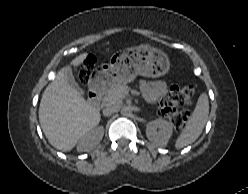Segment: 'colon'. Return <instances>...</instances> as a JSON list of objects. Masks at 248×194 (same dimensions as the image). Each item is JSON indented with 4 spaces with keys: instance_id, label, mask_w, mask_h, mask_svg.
Segmentation results:
<instances>
[{
    "instance_id": "5ec220e1",
    "label": "colon",
    "mask_w": 248,
    "mask_h": 194,
    "mask_svg": "<svg viewBox=\"0 0 248 194\" xmlns=\"http://www.w3.org/2000/svg\"><path fill=\"white\" fill-rule=\"evenodd\" d=\"M94 75L93 62L88 61L79 70L80 82L86 83ZM192 86H172L168 96L160 103V114L167 118L177 131L183 130L189 119L188 107L193 103Z\"/></svg>"
}]
</instances>
